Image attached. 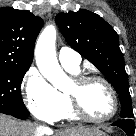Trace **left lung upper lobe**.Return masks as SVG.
<instances>
[{
  "instance_id": "obj_1",
  "label": "left lung upper lobe",
  "mask_w": 136,
  "mask_h": 136,
  "mask_svg": "<svg viewBox=\"0 0 136 136\" xmlns=\"http://www.w3.org/2000/svg\"><path fill=\"white\" fill-rule=\"evenodd\" d=\"M56 22L67 43L111 82L119 94L121 119L133 118L127 73L114 29L99 15L88 10L59 13Z\"/></svg>"
}]
</instances>
